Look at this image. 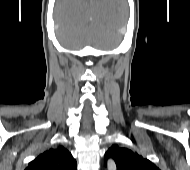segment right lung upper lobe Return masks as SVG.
<instances>
[{
	"label": "right lung upper lobe",
	"mask_w": 190,
	"mask_h": 170,
	"mask_svg": "<svg viewBox=\"0 0 190 170\" xmlns=\"http://www.w3.org/2000/svg\"><path fill=\"white\" fill-rule=\"evenodd\" d=\"M25 170H76V160L60 146L40 154Z\"/></svg>",
	"instance_id": "right-lung-upper-lobe-1"
}]
</instances>
